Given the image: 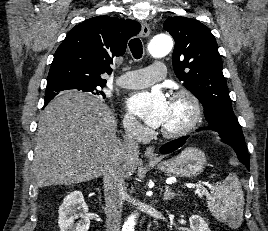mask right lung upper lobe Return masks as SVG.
Here are the masks:
<instances>
[{
    "mask_svg": "<svg viewBox=\"0 0 268 231\" xmlns=\"http://www.w3.org/2000/svg\"><path fill=\"white\" fill-rule=\"evenodd\" d=\"M134 20L97 16L73 27L55 52L47 88L104 87L102 74H110L113 58L125 53L127 41L139 33ZM45 96V103L53 99Z\"/></svg>",
    "mask_w": 268,
    "mask_h": 231,
    "instance_id": "obj_1",
    "label": "right lung upper lobe"
}]
</instances>
